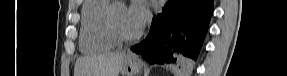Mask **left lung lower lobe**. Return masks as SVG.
I'll return each instance as SVG.
<instances>
[{
  "label": "left lung lower lobe",
  "instance_id": "obj_1",
  "mask_svg": "<svg viewBox=\"0 0 287 76\" xmlns=\"http://www.w3.org/2000/svg\"><path fill=\"white\" fill-rule=\"evenodd\" d=\"M213 13V0H167L152 20L150 32L132 51L149 63L196 61Z\"/></svg>",
  "mask_w": 287,
  "mask_h": 76
}]
</instances>
